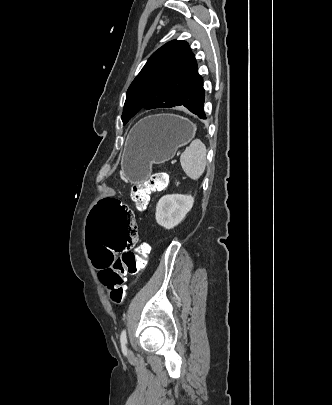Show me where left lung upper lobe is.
Masks as SVG:
<instances>
[{
    "instance_id": "5c2ea615",
    "label": "left lung upper lobe",
    "mask_w": 332,
    "mask_h": 405,
    "mask_svg": "<svg viewBox=\"0 0 332 405\" xmlns=\"http://www.w3.org/2000/svg\"><path fill=\"white\" fill-rule=\"evenodd\" d=\"M203 83L195 56L185 41L173 40L155 51L130 85L122 113L125 125L140 109H192Z\"/></svg>"
}]
</instances>
